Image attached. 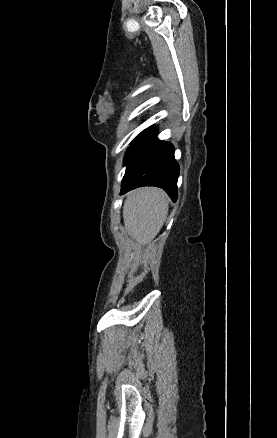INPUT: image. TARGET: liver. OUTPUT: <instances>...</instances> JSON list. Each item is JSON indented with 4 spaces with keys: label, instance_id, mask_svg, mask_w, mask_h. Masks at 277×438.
<instances>
[{
    "label": "liver",
    "instance_id": "6515ba94",
    "mask_svg": "<svg viewBox=\"0 0 277 438\" xmlns=\"http://www.w3.org/2000/svg\"><path fill=\"white\" fill-rule=\"evenodd\" d=\"M168 196L159 188H139L127 194L123 206L124 226L138 244H149L168 216Z\"/></svg>",
    "mask_w": 277,
    "mask_h": 438
}]
</instances>
